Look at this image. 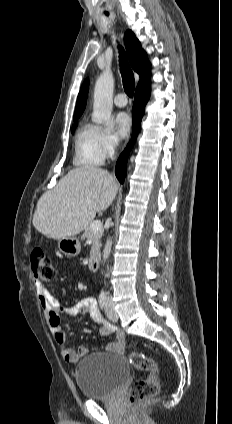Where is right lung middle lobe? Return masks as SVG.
Returning a JSON list of instances; mask_svg holds the SVG:
<instances>
[{
    "mask_svg": "<svg viewBox=\"0 0 232 424\" xmlns=\"http://www.w3.org/2000/svg\"><path fill=\"white\" fill-rule=\"evenodd\" d=\"M79 117H74V120H77ZM77 126V124H75L74 126H73V128L74 127H76ZM73 130V129H72Z\"/></svg>",
    "mask_w": 232,
    "mask_h": 424,
    "instance_id": "1",
    "label": "right lung middle lobe"
}]
</instances>
